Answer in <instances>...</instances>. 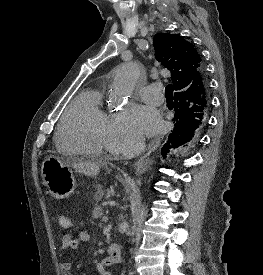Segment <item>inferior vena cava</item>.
Here are the masks:
<instances>
[{
	"instance_id": "1",
	"label": "inferior vena cava",
	"mask_w": 263,
	"mask_h": 275,
	"mask_svg": "<svg viewBox=\"0 0 263 275\" xmlns=\"http://www.w3.org/2000/svg\"><path fill=\"white\" fill-rule=\"evenodd\" d=\"M146 145H145V138L140 136L136 139L133 147L128 150L123 151V156L125 158L131 159L138 155L140 152L144 151Z\"/></svg>"
}]
</instances>
